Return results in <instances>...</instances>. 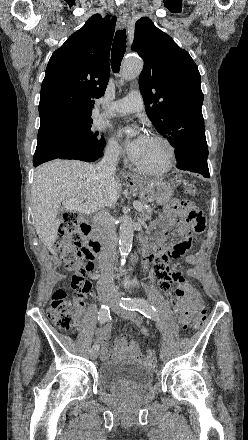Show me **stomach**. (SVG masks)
I'll return each mask as SVG.
<instances>
[{
  "label": "stomach",
  "instance_id": "obj_1",
  "mask_svg": "<svg viewBox=\"0 0 248 440\" xmlns=\"http://www.w3.org/2000/svg\"><path fill=\"white\" fill-rule=\"evenodd\" d=\"M128 184L138 191L141 197L147 196L159 205L167 204L174 195L171 184L160 179L133 178Z\"/></svg>",
  "mask_w": 248,
  "mask_h": 440
}]
</instances>
